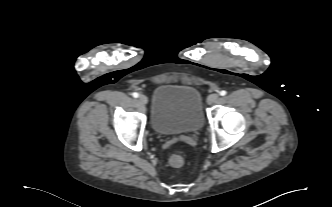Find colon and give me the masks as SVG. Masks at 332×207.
<instances>
[{
  "label": "colon",
  "mask_w": 332,
  "mask_h": 207,
  "mask_svg": "<svg viewBox=\"0 0 332 207\" xmlns=\"http://www.w3.org/2000/svg\"><path fill=\"white\" fill-rule=\"evenodd\" d=\"M169 163L173 167H181L184 164V158L181 154L175 153L170 156Z\"/></svg>",
  "instance_id": "1"
}]
</instances>
